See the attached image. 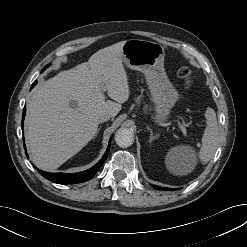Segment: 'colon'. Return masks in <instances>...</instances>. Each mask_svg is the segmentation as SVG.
Masks as SVG:
<instances>
[{
    "instance_id": "5ec220e1",
    "label": "colon",
    "mask_w": 247,
    "mask_h": 247,
    "mask_svg": "<svg viewBox=\"0 0 247 247\" xmlns=\"http://www.w3.org/2000/svg\"><path fill=\"white\" fill-rule=\"evenodd\" d=\"M178 76L183 80L186 88H190L192 85V77L190 70L186 67H182L178 71Z\"/></svg>"
}]
</instances>
